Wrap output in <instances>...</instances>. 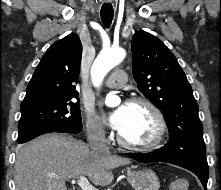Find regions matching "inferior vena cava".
Returning <instances> with one entry per match:
<instances>
[{"instance_id":"obj_1","label":"inferior vena cava","mask_w":221,"mask_h":190,"mask_svg":"<svg viewBox=\"0 0 221 190\" xmlns=\"http://www.w3.org/2000/svg\"><path fill=\"white\" fill-rule=\"evenodd\" d=\"M91 151L96 154H110L109 147L105 141V134L102 128L94 129L88 136Z\"/></svg>"}]
</instances>
